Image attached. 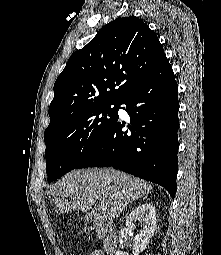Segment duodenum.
Masks as SVG:
<instances>
[{"instance_id":"410a0bca","label":"duodenum","mask_w":221,"mask_h":255,"mask_svg":"<svg viewBox=\"0 0 221 255\" xmlns=\"http://www.w3.org/2000/svg\"><path fill=\"white\" fill-rule=\"evenodd\" d=\"M86 220L97 226L106 253L112 255L118 244V235L113 222L108 217L97 213H88Z\"/></svg>"}]
</instances>
